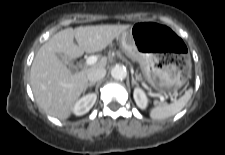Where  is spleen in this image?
I'll use <instances>...</instances> for the list:
<instances>
[{
  "mask_svg": "<svg viewBox=\"0 0 225 155\" xmlns=\"http://www.w3.org/2000/svg\"><path fill=\"white\" fill-rule=\"evenodd\" d=\"M192 93V89H189L177 101L171 104L159 105L152 108L150 111V117L154 120H162L174 116L186 106L192 96Z\"/></svg>",
  "mask_w": 225,
  "mask_h": 155,
  "instance_id": "obj_1",
  "label": "spleen"
}]
</instances>
